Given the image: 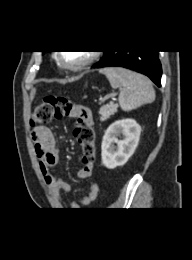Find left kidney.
<instances>
[{
    "instance_id": "1",
    "label": "left kidney",
    "mask_w": 192,
    "mask_h": 260,
    "mask_svg": "<svg viewBox=\"0 0 192 260\" xmlns=\"http://www.w3.org/2000/svg\"><path fill=\"white\" fill-rule=\"evenodd\" d=\"M140 133L141 126L134 119H122L112 123L105 131L102 140L103 165L108 169L123 166L134 153Z\"/></svg>"
}]
</instances>
